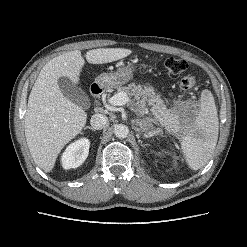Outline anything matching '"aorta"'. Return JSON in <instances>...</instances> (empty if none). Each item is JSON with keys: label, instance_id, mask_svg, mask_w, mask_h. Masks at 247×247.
<instances>
[{"label": "aorta", "instance_id": "obj_1", "mask_svg": "<svg viewBox=\"0 0 247 247\" xmlns=\"http://www.w3.org/2000/svg\"><path fill=\"white\" fill-rule=\"evenodd\" d=\"M114 134L120 139L126 138L129 134V128L124 124H118L114 128Z\"/></svg>", "mask_w": 247, "mask_h": 247}]
</instances>
